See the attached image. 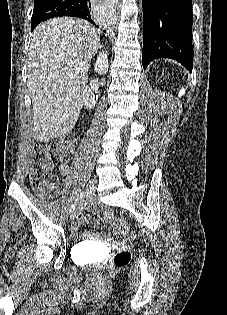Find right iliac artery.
<instances>
[{
  "instance_id": "1",
  "label": "right iliac artery",
  "mask_w": 227,
  "mask_h": 315,
  "mask_svg": "<svg viewBox=\"0 0 227 315\" xmlns=\"http://www.w3.org/2000/svg\"><path fill=\"white\" fill-rule=\"evenodd\" d=\"M85 194L84 192H82L76 199L75 201L72 203L69 211L73 212L75 210V207L78 205V203L84 198Z\"/></svg>"
}]
</instances>
